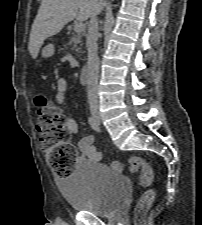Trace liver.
Wrapping results in <instances>:
<instances>
[{
	"label": "liver",
	"mask_w": 202,
	"mask_h": 225,
	"mask_svg": "<svg viewBox=\"0 0 202 225\" xmlns=\"http://www.w3.org/2000/svg\"><path fill=\"white\" fill-rule=\"evenodd\" d=\"M105 6L103 0H42L32 25L29 52L38 56L45 39L59 33L70 21H86Z\"/></svg>",
	"instance_id": "1"
}]
</instances>
